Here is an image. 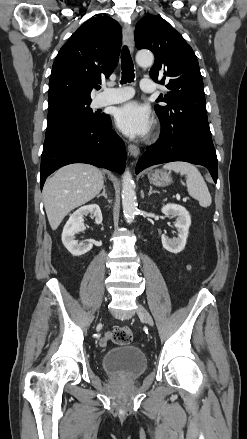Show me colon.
Wrapping results in <instances>:
<instances>
[{
    "mask_svg": "<svg viewBox=\"0 0 247 439\" xmlns=\"http://www.w3.org/2000/svg\"><path fill=\"white\" fill-rule=\"evenodd\" d=\"M111 338L115 344L128 345L133 340V333L126 326L118 327V328L113 330V332L111 334Z\"/></svg>",
    "mask_w": 247,
    "mask_h": 439,
    "instance_id": "1",
    "label": "colon"
}]
</instances>
